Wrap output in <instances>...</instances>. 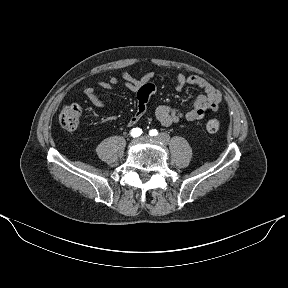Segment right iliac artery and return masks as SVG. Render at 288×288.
Here are the masks:
<instances>
[{
    "instance_id": "1",
    "label": "right iliac artery",
    "mask_w": 288,
    "mask_h": 288,
    "mask_svg": "<svg viewBox=\"0 0 288 288\" xmlns=\"http://www.w3.org/2000/svg\"><path fill=\"white\" fill-rule=\"evenodd\" d=\"M142 134V130L140 128H133L131 130V136L132 137H138Z\"/></svg>"
}]
</instances>
